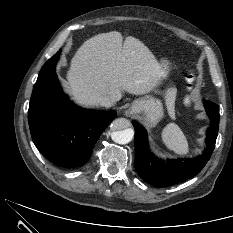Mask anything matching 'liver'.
Instances as JSON below:
<instances>
[{
    "mask_svg": "<svg viewBox=\"0 0 233 233\" xmlns=\"http://www.w3.org/2000/svg\"><path fill=\"white\" fill-rule=\"evenodd\" d=\"M161 65L149 48L135 37L123 42L121 33H102L85 41L77 50L67 73L73 99L86 107L99 106L100 99L122 98V91L141 95L161 80ZM176 90L171 88L166 101L172 104Z\"/></svg>",
    "mask_w": 233,
    "mask_h": 233,
    "instance_id": "6515ba94",
    "label": "liver"
}]
</instances>
